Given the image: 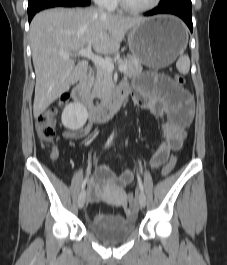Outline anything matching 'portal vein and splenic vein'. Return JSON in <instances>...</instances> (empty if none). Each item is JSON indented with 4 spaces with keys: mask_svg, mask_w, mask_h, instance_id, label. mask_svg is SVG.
<instances>
[{
    "mask_svg": "<svg viewBox=\"0 0 227 265\" xmlns=\"http://www.w3.org/2000/svg\"><path fill=\"white\" fill-rule=\"evenodd\" d=\"M77 54L82 57L92 60L98 67L104 68L110 72H113L114 70V63L111 62L110 60L103 59L102 57L95 55L91 50L90 44L87 45L86 48L77 51ZM62 57L64 59H69L70 56L68 54H62ZM118 69L119 71L124 72L126 71L127 68L125 65H120Z\"/></svg>",
    "mask_w": 227,
    "mask_h": 265,
    "instance_id": "18ae733b",
    "label": "portal vein and splenic vein"
}]
</instances>
